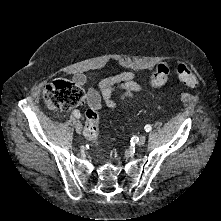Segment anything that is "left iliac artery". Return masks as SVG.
Segmentation results:
<instances>
[{
	"mask_svg": "<svg viewBox=\"0 0 221 221\" xmlns=\"http://www.w3.org/2000/svg\"><path fill=\"white\" fill-rule=\"evenodd\" d=\"M144 129H145L146 132H150L152 130V127L150 125H146L144 127Z\"/></svg>",
	"mask_w": 221,
	"mask_h": 221,
	"instance_id": "44dca946",
	"label": "left iliac artery"
}]
</instances>
